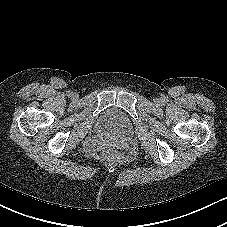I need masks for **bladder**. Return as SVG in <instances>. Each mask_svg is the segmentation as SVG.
<instances>
[{"label":"bladder","instance_id":"bladder-1","mask_svg":"<svg viewBox=\"0 0 227 227\" xmlns=\"http://www.w3.org/2000/svg\"><path fill=\"white\" fill-rule=\"evenodd\" d=\"M98 127L101 131L125 135L132 129V124L121 110L109 108L100 115Z\"/></svg>","mask_w":227,"mask_h":227}]
</instances>
